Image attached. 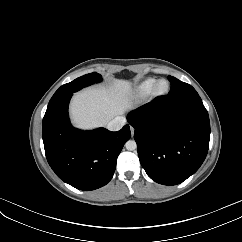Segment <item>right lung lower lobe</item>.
Masks as SVG:
<instances>
[{
	"instance_id": "98d812e1",
	"label": "right lung lower lobe",
	"mask_w": 242,
	"mask_h": 242,
	"mask_svg": "<svg viewBox=\"0 0 242 242\" xmlns=\"http://www.w3.org/2000/svg\"><path fill=\"white\" fill-rule=\"evenodd\" d=\"M72 94L53 98L48 104L42 123L45 154L60 179L77 189L90 191L111 180L117 157L131 132L128 124L117 132L73 128L68 116Z\"/></svg>"
}]
</instances>
